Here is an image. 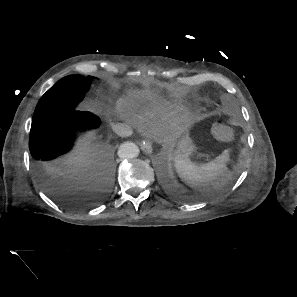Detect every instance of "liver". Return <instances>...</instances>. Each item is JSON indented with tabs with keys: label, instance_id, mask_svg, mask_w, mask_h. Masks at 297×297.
Segmentation results:
<instances>
[{
	"label": "liver",
	"instance_id": "liver-1",
	"mask_svg": "<svg viewBox=\"0 0 297 297\" xmlns=\"http://www.w3.org/2000/svg\"><path fill=\"white\" fill-rule=\"evenodd\" d=\"M89 153L90 150L86 145L77 148L69 157V163L73 165V167L65 173H60L65 176L66 184L72 188V190L89 189L87 183L91 174L86 169L81 168L83 163L87 161V155H89Z\"/></svg>",
	"mask_w": 297,
	"mask_h": 297
}]
</instances>
